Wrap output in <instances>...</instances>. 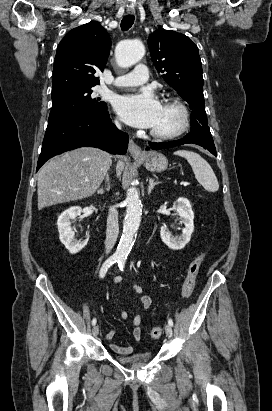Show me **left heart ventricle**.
I'll return each mask as SVG.
<instances>
[{
	"label": "left heart ventricle",
	"mask_w": 272,
	"mask_h": 411,
	"mask_svg": "<svg viewBox=\"0 0 272 411\" xmlns=\"http://www.w3.org/2000/svg\"><path fill=\"white\" fill-rule=\"evenodd\" d=\"M180 122V114L177 109L161 105V110L156 124L152 129L159 132H170L174 130Z\"/></svg>",
	"instance_id": "b2bd125f"
}]
</instances>
